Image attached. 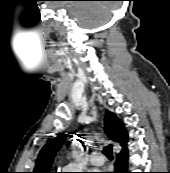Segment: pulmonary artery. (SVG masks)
I'll return each mask as SVG.
<instances>
[{
	"label": "pulmonary artery",
	"mask_w": 170,
	"mask_h": 173,
	"mask_svg": "<svg viewBox=\"0 0 170 173\" xmlns=\"http://www.w3.org/2000/svg\"><path fill=\"white\" fill-rule=\"evenodd\" d=\"M89 161L94 166H101L104 164L103 156L98 152H92L89 157Z\"/></svg>",
	"instance_id": "1"
}]
</instances>
